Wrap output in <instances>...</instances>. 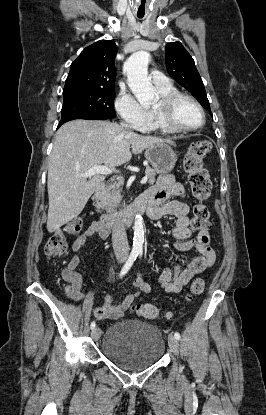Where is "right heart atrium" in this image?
Here are the masks:
<instances>
[{
    "instance_id": "obj_1",
    "label": "right heart atrium",
    "mask_w": 266,
    "mask_h": 415,
    "mask_svg": "<svg viewBox=\"0 0 266 415\" xmlns=\"http://www.w3.org/2000/svg\"><path fill=\"white\" fill-rule=\"evenodd\" d=\"M120 117L136 129H145L150 120V112L131 93L122 91L115 101Z\"/></svg>"
}]
</instances>
